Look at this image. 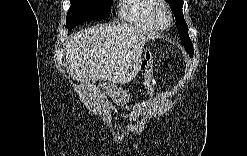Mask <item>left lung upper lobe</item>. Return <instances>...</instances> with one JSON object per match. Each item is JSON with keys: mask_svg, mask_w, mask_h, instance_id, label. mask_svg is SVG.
<instances>
[{"mask_svg": "<svg viewBox=\"0 0 247 156\" xmlns=\"http://www.w3.org/2000/svg\"><path fill=\"white\" fill-rule=\"evenodd\" d=\"M171 10L174 13L176 19V26L179 31L180 39L185 46V49L189 53V56H193V44L188 35V26L184 20L182 13L183 0H168Z\"/></svg>", "mask_w": 247, "mask_h": 156, "instance_id": "obj_1", "label": "left lung upper lobe"}]
</instances>
